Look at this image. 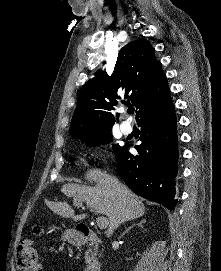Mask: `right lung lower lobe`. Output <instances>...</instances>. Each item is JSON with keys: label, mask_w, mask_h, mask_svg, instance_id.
<instances>
[{"label": "right lung lower lobe", "mask_w": 221, "mask_h": 271, "mask_svg": "<svg viewBox=\"0 0 221 271\" xmlns=\"http://www.w3.org/2000/svg\"><path fill=\"white\" fill-rule=\"evenodd\" d=\"M142 134L137 156L125 145L116 155L118 170L126 185L139 196L174 209L178 137L172 100L138 119Z\"/></svg>", "instance_id": "right-lung-lower-lobe-1"}]
</instances>
